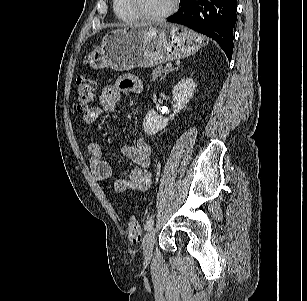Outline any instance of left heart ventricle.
I'll use <instances>...</instances> for the list:
<instances>
[{"label": "left heart ventricle", "mask_w": 307, "mask_h": 301, "mask_svg": "<svg viewBox=\"0 0 307 301\" xmlns=\"http://www.w3.org/2000/svg\"><path fill=\"white\" fill-rule=\"evenodd\" d=\"M140 8L148 14H159L166 11L172 0H138Z\"/></svg>", "instance_id": "obj_1"}]
</instances>
